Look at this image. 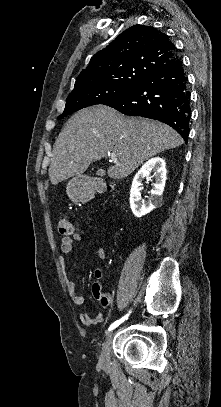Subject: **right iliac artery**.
Segmentation results:
<instances>
[{"mask_svg":"<svg viewBox=\"0 0 221 407\" xmlns=\"http://www.w3.org/2000/svg\"><path fill=\"white\" fill-rule=\"evenodd\" d=\"M130 312L128 314H126L124 317H122L121 319L115 321L113 324L110 325V327L108 328V331L113 330L114 328L118 327L122 322H124L125 320L128 319Z\"/></svg>","mask_w":221,"mask_h":407,"instance_id":"82829eb1","label":"right iliac artery"}]
</instances>
